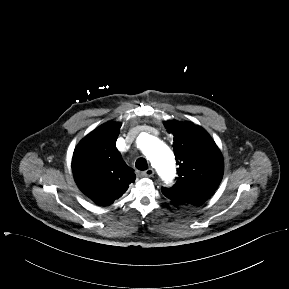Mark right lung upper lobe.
I'll use <instances>...</instances> for the list:
<instances>
[{
    "mask_svg": "<svg viewBox=\"0 0 289 289\" xmlns=\"http://www.w3.org/2000/svg\"><path fill=\"white\" fill-rule=\"evenodd\" d=\"M120 123H105L88 134L76 147L72 170L80 190L100 206L120 198L135 181L133 169L116 148Z\"/></svg>",
    "mask_w": 289,
    "mask_h": 289,
    "instance_id": "obj_1",
    "label": "right lung upper lobe"
}]
</instances>
